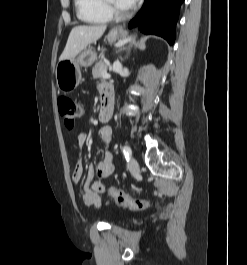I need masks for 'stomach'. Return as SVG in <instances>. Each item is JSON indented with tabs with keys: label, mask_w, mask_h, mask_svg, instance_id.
Here are the masks:
<instances>
[{
	"label": "stomach",
	"mask_w": 247,
	"mask_h": 265,
	"mask_svg": "<svg viewBox=\"0 0 247 265\" xmlns=\"http://www.w3.org/2000/svg\"><path fill=\"white\" fill-rule=\"evenodd\" d=\"M122 31L112 30L107 35V41L112 44L121 35ZM97 60V54L91 49H85L77 57L59 61L56 69L57 87L63 93H69L78 87L81 82V67H89Z\"/></svg>",
	"instance_id": "1"
}]
</instances>
